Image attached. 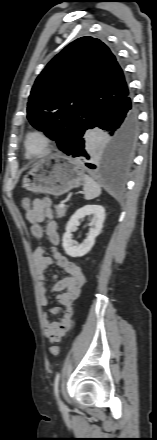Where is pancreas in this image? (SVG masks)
<instances>
[{
    "instance_id": "cf45deb5",
    "label": "pancreas",
    "mask_w": 157,
    "mask_h": 440,
    "mask_svg": "<svg viewBox=\"0 0 157 440\" xmlns=\"http://www.w3.org/2000/svg\"><path fill=\"white\" fill-rule=\"evenodd\" d=\"M56 214L59 218H62L65 216V213L67 211L66 207H62L61 205H55Z\"/></svg>"
}]
</instances>
